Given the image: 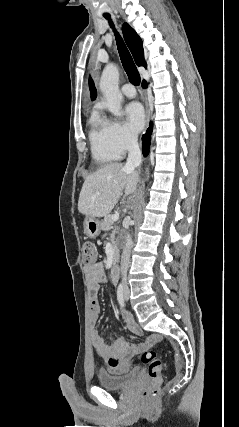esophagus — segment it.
<instances>
[{"instance_id": "esophagus-1", "label": "esophagus", "mask_w": 239, "mask_h": 427, "mask_svg": "<svg viewBox=\"0 0 239 427\" xmlns=\"http://www.w3.org/2000/svg\"><path fill=\"white\" fill-rule=\"evenodd\" d=\"M145 104H146V127H148L149 125V117H150V111L148 108V104H147V100L145 99Z\"/></svg>"}]
</instances>
